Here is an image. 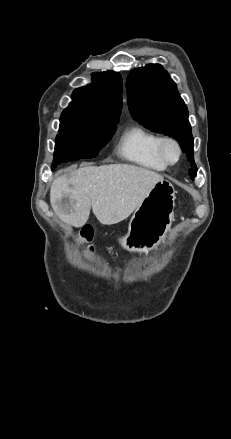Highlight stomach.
<instances>
[{
	"label": "stomach",
	"instance_id": "stomach-1",
	"mask_svg": "<svg viewBox=\"0 0 231 439\" xmlns=\"http://www.w3.org/2000/svg\"><path fill=\"white\" fill-rule=\"evenodd\" d=\"M175 193L168 180L155 184L135 210L127 235L119 239L123 248L148 253L164 241L174 220Z\"/></svg>",
	"mask_w": 231,
	"mask_h": 439
}]
</instances>
